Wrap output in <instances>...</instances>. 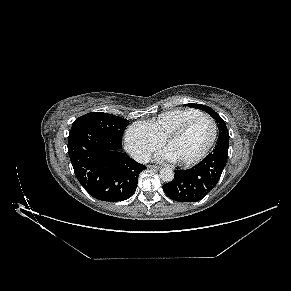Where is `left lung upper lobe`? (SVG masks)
<instances>
[{"instance_id":"5c2ea615","label":"left lung upper lobe","mask_w":291,"mask_h":291,"mask_svg":"<svg viewBox=\"0 0 291 291\" xmlns=\"http://www.w3.org/2000/svg\"><path fill=\"white\" fill-rule=\"evenodd\" d=\"M188 105L191 107L206 111L211 117H213L216 120L218 128H219L218 140L219 139L229 140V133H228V129L226 127L224 120L212 108L205 106V105H201V104H191L190 103Z\"/></svg>"}]
</instances>
